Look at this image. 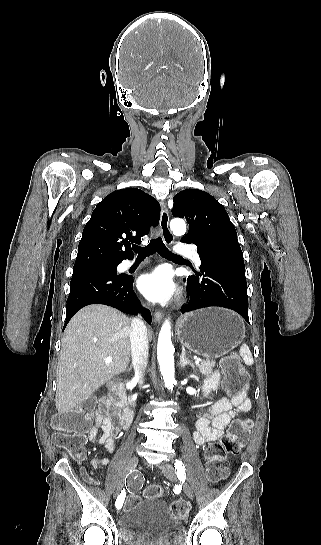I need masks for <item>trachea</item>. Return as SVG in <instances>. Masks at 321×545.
I'll list each match as a JSON object with an SVG mask.
<instances>
[{
  "mask_svg": "<svg viewBox=\"0 0 321 545\" xmlns=\"http://www.w3.org/2000/svg\"><path fill=\"white\" fill-rule=\"evenodd\" d=\"M133 251L138 253V258H146L153 255V253L158 252L161 257L167 258L168 260L185 261V259H183V257L180 255L170 252L164 245L161 237L153 238L146 247H138L137 245H133Z\"/></svg>",
  "mask_w": 321,
  "mask_h": 545,
  "instance_id": "obj_1",
  "label": "trachea"
}]
</instances>
